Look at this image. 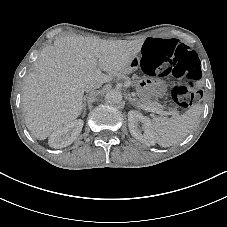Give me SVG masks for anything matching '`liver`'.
<instances>
[{
  "label": "liver",
  "mask_w": 227,
  "mask_h": 227,
  "mask_svg": "<svg viewBox=\"0 0 227 227\" xmlns=\"http://www.w3.org/2000/svg\"><path fill=\"white\" fill-rule=\"evenodd\" d=\"M144 40L71 35L44 47L35 72L29 73L23 82L22 106L28 130L43 141L57 128L78 118L86 85L110 83L111 74L132 71L131 63Z\"/></svg>",
  "instance_id": "1"
}]
</instances>
